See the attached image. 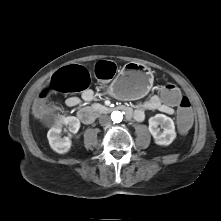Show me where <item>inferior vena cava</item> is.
<instances>
[{
	"label": "inferior vena cava",
	"mask_w": 221,
	"mask_h": 221,
	"mask_svg": "<svg viewBox=\"0 0 221 221\" xmlns=\"http://www.w3.org/2000/svg\"><path fill=\"white\" fill-rule=\"evenodd\" d=\"M99 123L101 124V126H107V125H110L111 119L108 115H102L99 118Z\"/></svg>",
	"instance_id": "obj_1"
}]
</instances>
